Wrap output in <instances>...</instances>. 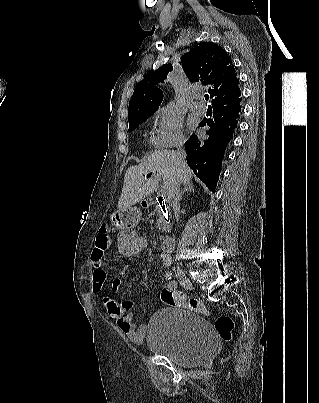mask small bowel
<instances>
[{
    "mask_svg": "<svg viewBox=\"0 0 319 403\" xmlns=\"http://www.w3.org/2000/svg\"><path fill=\"white\" fill-rule=\"evenodd\" d=\"M121 234V233H120ZM146 240V239H145ZM110 245L109 229L103 226L99 230L98 237L95 241L91 252V261L93 265V279L94 290L100 291L103 289L106 282V272L102 267V257ZM163 265H168L170 262L168 254L163 252L161 254ZM122 279L115 278L112 282L114 290H119L122 287ZM173 284H169L168 288H173ZM102 305L106 308L109 316L113 318L120 330L132 341L133 343H142L146 337L148 327L147 325H140L136 327L133 320L134 302L128 300H112L109 295L103 296Z\"/></svg>",
    "mask_w": 319,
    "mask_h": 403,
    "instance_id": "obj_1",
    "label": "small bowel"
}]
</instances>
